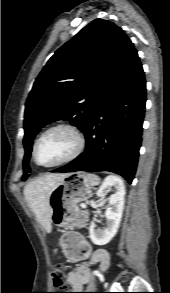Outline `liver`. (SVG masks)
I'll list each match as a JSON object with an SVG mask.
<instances>
[{
  "mask_svg": "<svg viewBox=\"0 0 170 293\" xmlns=\"http://www.w3.org/2000/svg\"><path fill=\"white\" fill-rule=\"evenodd\" d=\"M67 174H46L29 182L24 188V196L38 222L47 233L51 232V211L49 205L53 187Z\"/></svg>",
  "mask_w": 170,
  "mask_h": 293,
  "instance_id": "6515ba94",
  "label": "liver"
}]
</instances>
